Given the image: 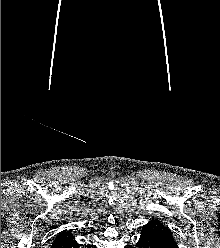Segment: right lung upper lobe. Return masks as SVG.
I'll return each mask as SVG.
<instances>
[{"label":"right lung upper lobe","instance_id":"right-lung-upper-lobe-1","mask_svg":"<svg viewBox=\"0 0 220 248\" xmlns=\"http://www.w3.org/2000/svg\"><path fill=\"white\" fill-rule=\"evenodd\" d=\"M70 233H71V230H69V231H64V232H60V233L57 235L56 239L54 240L53 245L56 244V243H58V242L63 241L64 239H67V238L71 237V234H70ZM53 245H52V246H53Z\"/></svg>","mask_w":220,"mask_h":248}]
</instances>
